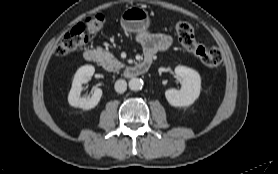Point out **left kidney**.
<instances>
[{"label":"left kidney","mask_w":278,"mask_h":174,"mask_svg":"<svg viewBox=\"0 0 278 174\" xmlns=\"http://www.w3.org/2000/svg\"><path fill=\"white\" fill-rule=\"evenodd\" d=\"M175 74L182 80V87L180 90H166L165 97L167 101L175 107L192 105L200 94L201 78L199 73L185 66H177Z\"/></svg>","instance_id":"obj_1"}]
</instances>
